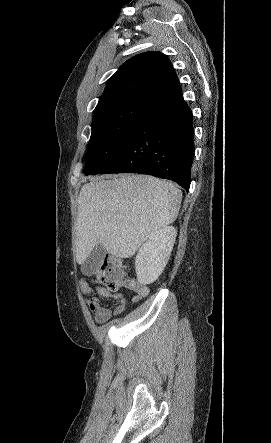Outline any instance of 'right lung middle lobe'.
Returning a JSON list of instances; mask_svg holds the SVG:
<instances>
[{
    "instance_id": "obj_1",
    "label": "right lung middle lobe",
    "mask_w": 271,
    "mask_h": 443,
    "mask_svg": "<svg viewBox=\"0 0 271 443\" xmlns=\"http://www.w3.org/2000/svg\"><path fill=\"white\" fill-rule=\"evenodd\" d=\"M152 103L127 99L98 106L94 110L84 173L92 174L110 159L138 118Z\"/></svg>"
}]
</instances>
